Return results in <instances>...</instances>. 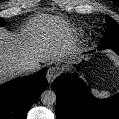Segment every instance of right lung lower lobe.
<instances>
[{"label":"right lung lower lobe","instance_id":"obj_1","mask_svg":"<svg viewBox=\"0 0 119 119\" xmlns=\"http://www.w3.org/2000/svg\"><path fill=\"white\" fill-rule=\"evenodd\" d=\"M47 87L46 70L0 86V119H26L29 107Z\"/></svg>","mask_w":119,"mask_h":119}]
</instances>
